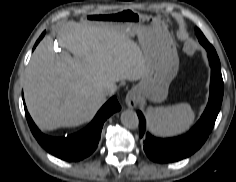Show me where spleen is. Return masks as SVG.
Instances as JSON below:
<instances>
[{"instance_id": "spleen-1", "label": "spleen", "mask_w": 236, "mask_h": 182, "mask_svg": "<svg viewBox=\"0 0 236 182\" xmlns=\"http://www.w3.org/2000/svg\"><path fill=\"white\" fill-rule=\"evenodd\" d=\"M148 127L158 136H174L185 132L193 124L195 113L187 103L149 107L146 111Z\"/></svg>"}]
</instances>
